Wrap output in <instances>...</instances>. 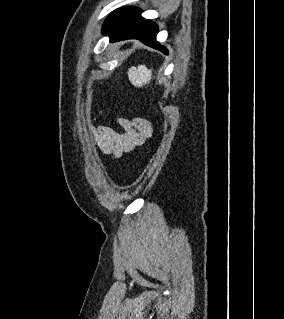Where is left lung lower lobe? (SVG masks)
<instances>
[{"mask_svg":"<svg viewBox=\"0 0 284 319\" xmlns=\"http://www.w3.org/2000/svg\"><path fill=\"white\" fill-rule=\"evenodd\" d=\"M140 14L141 10L135 7L119 9L102 32L108 33L112 42L139 39L146 45L168 54L167 49L156 41L158 26Z\"/></svg>","mask_w":284,"mask_h":319,"instance_id":"1","label":"left lung lower lobe"}]
</instances>
